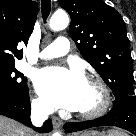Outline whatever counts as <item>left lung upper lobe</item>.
<instances>
[{"instance_id":"5c2ea615","label":"left lung upper lobe","mask_w":136,"mask_h":136,"mask_svg":"<svg viewBox=\"0 0 136 136\" xmlns=\"http://www.w3.org/2000/svg\"><path fill=\"white\" fill-rule=\"evenodd\" d=\"M60 6L71 16V38L115 98L135 95L130 41L121 15L102 0H60Z\"/></svg>"}]
</instances>
